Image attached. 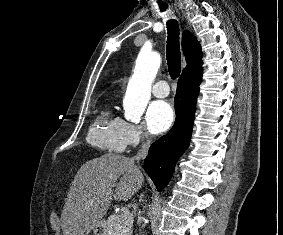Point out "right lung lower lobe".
Wrapping results in <instances>:
<instances>
[{"instance_id": "98d812e1", "label": "right lung lower lobe", "mask_w": 283, "mask_h": 235, "mask_svg": "<svg viewBox=\"0 0 283 235\" xmlns=\"http://www.w3.org/2000/svg\"><path fill=\"white\" fill-rule=\"evenodd\" d=\"M202 73L181 76L175 97L176 120L171 130L154 142L144 161V168L158 191L169 182L177 160L189 146Z\"/></svg>"}]
</instances>
